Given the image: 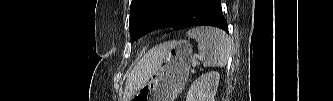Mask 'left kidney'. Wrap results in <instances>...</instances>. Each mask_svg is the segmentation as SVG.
Listing matches in <instances>:
<instances>
[{
    "mask_svg": "<svg viewBox=\"0 0 333 101\" xmlns=\"http://www.w3.org/2000/svg\"><path fill=\"white\" fill-rule=\"evenodd\" d=\"M220 75L217 71L202 74L189 89L186 101H215Z\"/></svg>",
    "mask_w": 333,
    "mask_h": 101,
    "instance_id": "left-kidney-1",
    "label": "left kidney"
}]
</instances>
